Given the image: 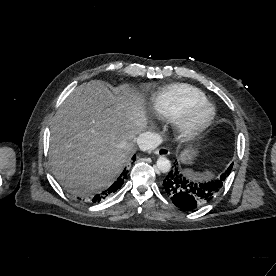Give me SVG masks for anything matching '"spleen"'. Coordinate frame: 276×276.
<instances>
[{"instance_id": "1", "label": "spleen", "mask_w": 276, "mask_h": 276, "mask_svg": "<svg viewBox=\"0 0 276 276\" xmlns=\"http://www.w3.org/2000/svg\"><path fill=\"white\" fill-rule=\"evenodd\" d=\"M193 177L198 180H210L211 178H213V174L211 172H204V173L195 174Z\"/></svg>"}]
</instances>
